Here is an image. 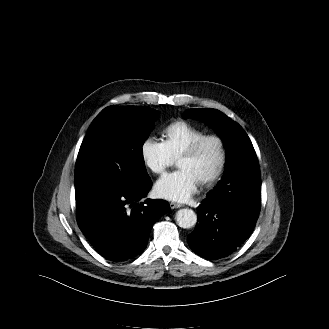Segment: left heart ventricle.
<instances>
[{"label":"left heart ventricle","instance_id":"obj_1","mask_svg":"<svg viewBox=\"0 0 329 329\" xmlns=\"http://www.w3.org/2000/svg\"><path fill=\"white\" fill-rule=\"evenodd\" d=\"M219 160V148L216 142L208 141L196 155L177 160L180 169L190 171L198 181L214 171Z\"/></svg>","mask_w":329,"mask_h":329}]
</instances>
